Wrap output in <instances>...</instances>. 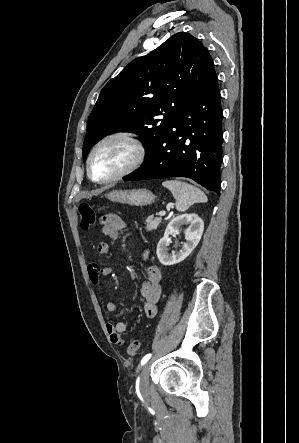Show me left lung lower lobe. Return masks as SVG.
Segmentation results:
<instances>
[{
  "label": "left lung lower lobe",
  "instance_id": "1",
  "mask_svg": "<svg viewBox=\"0 0 299 443\" xmlns=\"http://www.w3.org/2000/svg\"><path fill=\"white\" fill-rule=\"evenodd\" d=\"M220 97L214 71L184 105L142 166L124 181L187 177L219 195L223 134Z\"/></svg>",
  "mask_w": 299,
  "mask_h": 443
}]
</instances>
